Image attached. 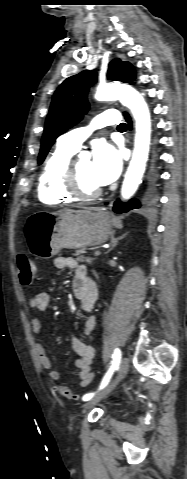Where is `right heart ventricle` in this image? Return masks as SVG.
Returning <instances> with one entry per match:
<instances>
[{
	"instance_id": "e07e8e85",
	"label": "right heart ventricle",
	"mask_w": 187,
	"mask_h": 479,
	"mask_svg": "<svg viewBox=\"0 0 187 479\" xmlns=\"http://www.w3.org/2000/svg\"><path fill=\"white\" fill-rule=\"evenodd\" d=\"M76 150L57 142L53 151L47 157L39 175L37 195L39 200L47 205L69 203L74 198L63 187L64 171Z\"/></svg>"
}]
</instances>
